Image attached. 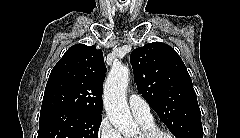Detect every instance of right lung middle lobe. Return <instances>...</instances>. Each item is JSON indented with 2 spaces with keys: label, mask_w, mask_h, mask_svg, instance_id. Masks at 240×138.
<instances>
[{
  "label": "right lung middle lobe",
  "mask_w": 240,
  "mask_h": 138,
  "mask_svg": "<svg viewBox=\"0 0 240 138\" xmlns=\"http://www.w3.org/2000/svg\"><path fill=\"white\" fill-rule=\"evenodd\" d=\"M102 115L53 112L40 115L38 138H97Z\"/></svg>",
  "instance_id": "1"
}]
</instances>
